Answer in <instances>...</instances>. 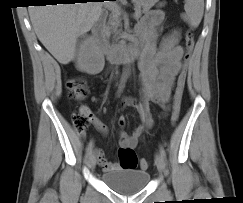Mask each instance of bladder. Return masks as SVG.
I'll return each instance as SVG.
<instances>
[{
    "label": "bladder",
    "instance_id": "31cf9c89",
    "mask_svg": "<svg viewBox=\"0 0 243 203\" xmlns=\"http://www.w3.org/2000/svg\"><path fill=\"white\" fill-rule=\"evenodd\" d=\"M149 179L150 174L146 170L116 169L102 174L103 182L121 195H133L141 192Z\"/></svg>",
    "mask_w": 243,
    "mask_h": 203
}]
</instances>
